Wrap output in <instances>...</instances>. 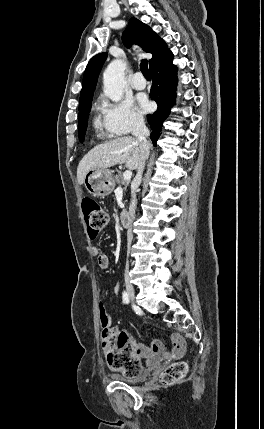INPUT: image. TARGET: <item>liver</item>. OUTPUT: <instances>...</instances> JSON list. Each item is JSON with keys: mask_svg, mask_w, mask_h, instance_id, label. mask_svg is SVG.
<instances>
[{"mask_svg": "<svg viewBox=\"0 0 264 429\" xmlns=\"http://www.w3.org/2000/svg\"><path fill=\"white\" fill-rule=\"evenodd\" d=\"M141 161V149L137 139L124 136L100 144L91 149L80 161L77 168V180L81 185L92 169H107L117 164H125L135 170Z\"/></svg>", "mask_w": 264, "mask_h": 429, "instance_id": "6515ba94", "label": "liver"}]
</instances>
